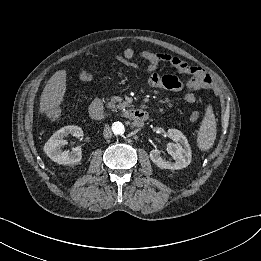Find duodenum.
<instances>
[{"instance_id": "duodenum-1", "label": "duodenum", "mask_w": 261, "mask_h": 261, "mask_svg": "<svg viewBox=\"0 0 261 261\" xmlns=\"http://www.w3.org/2000/svg\"><path fill=\"white\" fill-rule=\"evenodd\" d=\"M90 115L97 120H102L107 117L108 113L103 109L101 103L96 101L90 108ZM127 118L133 121L136 125H141L148 119V112L143 109L133 108L127 111Z\"/></svg>"}]
</instances>
